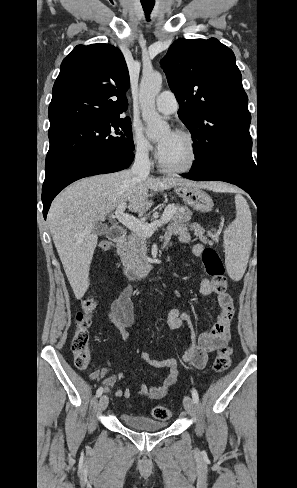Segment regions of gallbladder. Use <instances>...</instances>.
<instances>
[{
  "label": "gallbladder",
  "instance_id": "obj_1",
  "mask_svg": "<svg viewBox=\"0 0 297 488\" xmlns=\"http://www.w3.org/2000/svg\"><path fill=\"white\" fill-rule=\"evenodd\" d=\"M93 230L97 235L102 236V235H105L107 233L108 226L106 224L97 222V223H95Z\"/></svg>",
  "mask_w": 297,
  "mask_h": 488
}]
</instances>
